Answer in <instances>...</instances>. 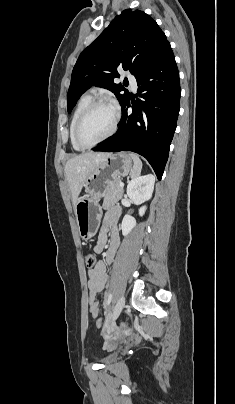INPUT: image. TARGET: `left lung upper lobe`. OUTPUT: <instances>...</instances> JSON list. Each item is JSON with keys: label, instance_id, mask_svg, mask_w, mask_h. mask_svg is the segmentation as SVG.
<instances>
[{"label": "left lung upper lobe", "instance_id": "obj_1", "mask_svg": "<svg viewBox=\"0 0 235 404\" xmlns=\"http://www.w3.org/2000/svg\"><path fill=\"white\" fill-rule=\"evenodd\" d=\"M169 42L155 20L143 11L130 9L116 16L101 35L80 54L67 94L70 113L78 98L91 86L112 91L122 106L129 92L115 84L118 68L136 76Z\"/></svg>", "mask_w": 235, "mask_h": 404}]
</instances>
